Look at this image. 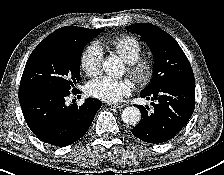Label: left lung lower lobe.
Instances as JSON below:
<instances>
[{"instance_id": "obj_1", "label": "left lung lower lobe", "mask_w": 224, "mask_h": 175, "mask_svg": "<svg viewBox=\"0 0 224 175\" xmlns=\"http://www.w3.org/2000/svg\"><path fill=\"white\" fill-rule=\"evenodd\" d=\"M142 98L154 101L153 111L137 105L141 111L140 122L132 134L147 143L159 144L174 138L191 118L195 108L194 81H174L159 88L140 93Z\"/></svg>"}]
</instances>
